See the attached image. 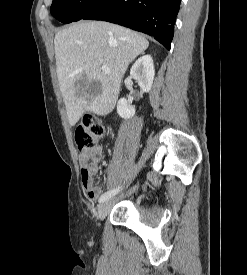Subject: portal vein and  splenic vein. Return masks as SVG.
Masks as SVG:
<instances>
[{
	"instance_id": "obj_1",
	"label": "portal vein and splenic vein",
	"mask_w": 247,
	"mask_h": 275,
	"mask_svg": "<svg viewBox=\"0 0 247 275\" xmlns=\"http://www.w3.org/2000/svg\"><path fill=\"white\" fill-rule=\"evenodd\" d=\"M102 71H104V72H110L111 70H110V68L109 67H107L106 65H103L102 66Z\"/></svg>"
}]
</instances>
